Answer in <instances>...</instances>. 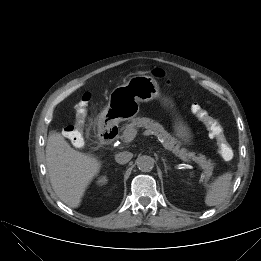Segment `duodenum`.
Masks as SVG:
<instances>
[{"mask_svg":"<svg viewBox=\"0 0 261 261\" xmlns=\"http://www.w3.org/2000/svg\"><path fill=\"white\" fill-rule=\"evenodd\" d=\"M118 135L116 127L105 128L101 131L100 138L105 144H112Z\"/></svg>","mask_w":261,"mask_h":261,"instance_id":"410a0bca","label":"duodenum"}]
</instances>
